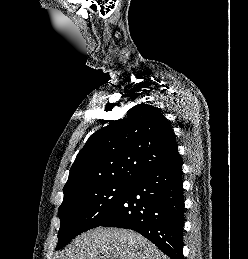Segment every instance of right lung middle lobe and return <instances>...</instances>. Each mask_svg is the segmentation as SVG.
<instances>
[{
	"label": "right lung middle lobe",
	"instance_id": "obj_1",
	"mask_svg": "<svg viewBox=\"0 0 248 259\" xmlns=\"http://www.w3.org/2000/svg\"><path fill=\"white\" fill-rule=\"evenodd\" d=\"M131 181H106L87 184L64 193L58 216L60 249L78 234L97 227L112 212L129 189Z\"/></svg>",
	"mask_w": 248,
	"mask_h": 259
}]
</instances>
